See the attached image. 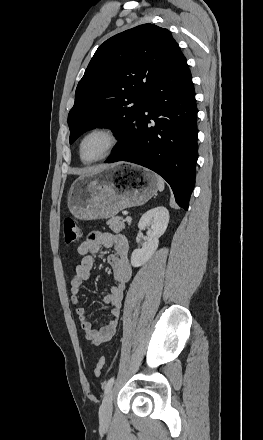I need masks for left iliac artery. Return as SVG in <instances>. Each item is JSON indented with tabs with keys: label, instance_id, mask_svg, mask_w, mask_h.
Returning a JSON list of instances; mask_svg holds the SVG:
<instances>
[{
	"label": "left iliac artery",
	"instance_id": "44dca946",
	"mask_svg": "<svg viewBox=\"0 0 263 440\" xmlns=\"http://www.w3.org/2000/svg\"><path fill=\"white\" fill-rule=\"evenodd\" d=\"M114 380H115V378H114V377H111V378L107 381V383H106V385H105V387H104V389H105V394H107V393L110 391L111 387H112L113 384H114Z\"/></svg>",
	"mask_w": 263,
	"mask_h": 440
}]
</instances>
